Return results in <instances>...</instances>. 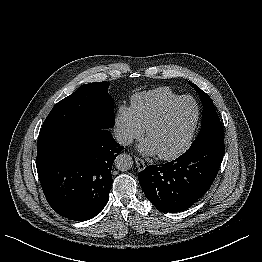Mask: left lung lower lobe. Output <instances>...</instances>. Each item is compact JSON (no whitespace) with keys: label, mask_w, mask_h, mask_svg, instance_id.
<instances>
[{"label":"left lung lower lobe","mask_w":262,"mask_h":262,"mask_svg":"<svg viewBox=\"0 0 262 262\" xmlns=\"http://www.w3.org/2000/svg\"><path fill=\"white\" fill-rule=\"evenodd\" d=\"M225 153L224 144L188 149L164 165H149L138 175L149 201L160 211L188 209L211 187Z\"/></svg>","instance_id":"obj_1"}]
</instances>
